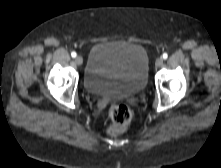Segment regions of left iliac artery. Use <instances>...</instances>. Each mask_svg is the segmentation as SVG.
Listing matches in <instances>:
<instances>
[{
	"label": "left iliac artery",
	"mask_w": 221,
	"mask_h": 168,
	"mask_svg": "<svg viewBox=\"0 0 221 168\" xmlns=\"http://www.w3.org/2000/svg\"><path fill=\"white\" fill-rule=\"evenodd\" d=\"M162 57H163V59H167V58H168V54H167V53H164V54L162 55Z\"/></svg>",
	"instance_id": "44dca946"
}]
</instances>
